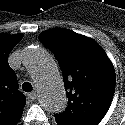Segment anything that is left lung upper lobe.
Listing matches in <instances>:
<instances>
[{
    "label": "left lung upper lobe",
    "mask_w": 125,
    "mask_h": 125,
    "mask_svg": "<svg viewBox=\"0 0 125 125\" xmlns=\"http://www.w3.org/2000/svg\"><path fill=\"white\" fill-rule=\"evenodd\" d=\"M41 42L54 54L63 73L68 106L55 116L64 125H98L115 92V71L93 39L56 28L42 32Z\"/></svg>",
    "instance_id": "1"
}]
</instances>
